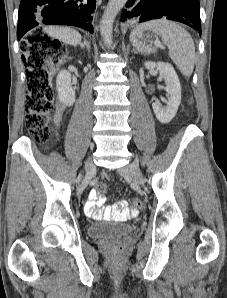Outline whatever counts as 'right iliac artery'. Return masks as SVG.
Masks as SVG:
<instances>
[{
	"instance_id": "right-iliac-artery-1",
	"label": "right iliac artery",
	"mask_w": 227,
	"mask_h": 298,
	"mask_svg": "<svg viewBox=\"0 0 227 298\" xmlns=\"http://www.w3.org/2000/svg\"><path fill=\"white\" fill-rule=\"evenodd\" d=\"M81 180V175L78 176L77 182H80Z\"/></svg>"
}]
</instances>
